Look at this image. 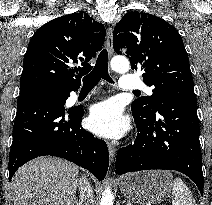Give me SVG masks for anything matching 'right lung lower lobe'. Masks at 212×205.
<instances>
[{"label":"right lung lower lobe","instance_id":"obj_1","mask_svg":"<svg viewBox=\"0 0 212 205\" xmlns=\"http://www.w3.org/2000/svg\"><path fill=\"white\" fill-rule=\"evenodd\" d=\"M54 86L21 93L17 100L9 181L26 162L44 155L67 159L94 174L106 176L109 154L105 141L94 138L81 126L83 110H66L71 91Z\"/></svg>","mask_w":212,"mask_h":205}]
</instances>
